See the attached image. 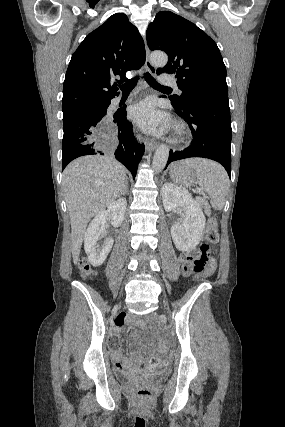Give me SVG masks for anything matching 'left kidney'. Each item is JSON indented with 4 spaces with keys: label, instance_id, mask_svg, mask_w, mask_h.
Segmentation results:
<instances>
[{
    "label": "left kidney",
    "instance_id": "1",
    "mask_svg": "<svg viewBox=\"0 0 285 427\" xmlns=\"http://www.w3.org/2000/svg\"><path fill=\"white\" fill-rule=\"evenodd\" d=\"M161 191L165 211L170 212L179 207L185 211L183 222L171 227L176 248L180 251L194 250L201 240L206 222L200 205L186 189L172 183H165Z\"/></svg>",
    "mask_w": 285,
    "mask_h": 427
}]
</instances>
